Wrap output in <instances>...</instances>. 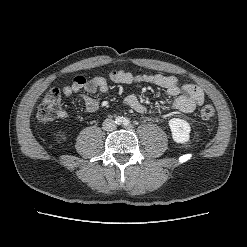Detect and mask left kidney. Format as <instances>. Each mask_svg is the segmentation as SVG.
I'll return each mask as SVG.
<instances>
[{
	"mask_svg": "<svg viewBox=\"0 0 247 247\" xmlns=\"http://www.w3.org/2000/svg\"><path fill=\"white\" fill-rule=\"evenodd\" d=\"M169 127L172 132V138L176 143H185L189 140L191 127L183 119L173 118L169 120Z\"/></svg>",
	"mask_w": 247,
	"mask_h": 247,
	"instance_id": "obj_1",
	"label": "left kidney"
}]
</instances>
